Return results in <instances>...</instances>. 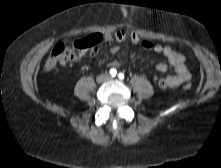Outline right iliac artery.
<instances>
[{"label": "right iliac artery", "mask_w": 221, "mask_h": 168, "mask_svg": "<svg viewBox=\"0 0 221 168\" xmlns=\"http://www.w3.org/2000/svg\"><path fill=\"white\" fill-rule=\"evenodd\" d=\"M110 75L112 76V77H115L116 76V74H117V70L115 69V68H112V69H110Z\"/></svg>", "instance_id": "right-iliac-artery-1"}]
</instances>
